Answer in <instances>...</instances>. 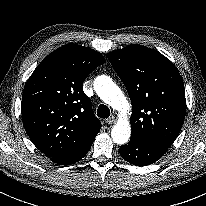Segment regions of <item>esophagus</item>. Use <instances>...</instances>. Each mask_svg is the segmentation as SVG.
I'll use <instances>...</instances> for the list:
<instances>
[{
  "label": "esophagus",
  "instance_id": "obj_1",
  "mask_svg": "<svg viewBox=\"0 0 206 206\" xmlns=\"http://www.w3.org/2000/svg\"><path fill=\"white\" fill-rule=\"evenodd\" d=\"M116 122V119H115V117H109L108 119H106V123L108 124V125H111V124H113V123H115Z\"/></svg>",
  "mask_w": 206,
  "mask_h": 206
}]
</instances>
